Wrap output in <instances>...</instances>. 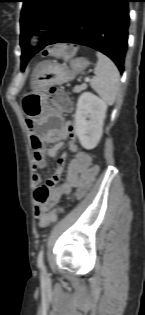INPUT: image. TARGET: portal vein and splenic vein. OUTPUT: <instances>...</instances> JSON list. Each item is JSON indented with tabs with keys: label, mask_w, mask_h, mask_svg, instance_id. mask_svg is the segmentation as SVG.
Instances as JSON below:
<instances>
[{
	"label": "portal vein and splenic vein",
	"mask_w": 145,
	"mask_h": 315,
	"mask_svg": "<svg viewBox=\"0 0 145 315\" xmlns=\"http://www.w3.org/2000/svg\"><path fill=\"white\" fill-rule=\"evenodd\" d=\"M90 80L89 77H85V81L88 82Z\"/></svg>",
	"instance_id": "18ae733b"
}]
</instances>
